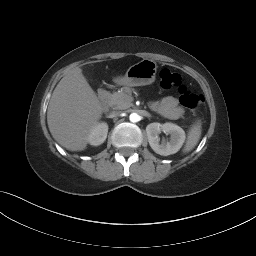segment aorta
<instances>
[{
	"mask_svg": "<svg viewBox=\"0 0 256 256\" xmlns=\"http://www.w3.org/2000/svg\"><path fill=\"white\" fill-rule=\"evenodd\" d=\"M129 119L131 122L135 123L140 120V116L137 113H131Z\"/></svg>",
	"mask_w": 256,
	"mask_h": 256,
	"instance_id": "aorta-1",
	"label": "aorta"
}]
</instances>
